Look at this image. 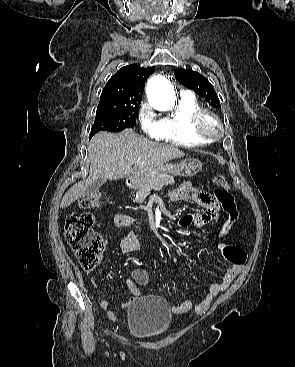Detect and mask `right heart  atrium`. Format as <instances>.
Here are the masks:
<instances>
[{
    "label": "right heart atrium",
    "instance_id": "1",
    "mask_svg": "<svg viewBox=\"0 0 295 367\" xmlns=\"http://www.w3.org/2000/svg\"><path fill=\"white\" fill-rule=\"evenodd\" d=\"M138 119L142 130L153 138H158L161 131L160 121L154 117L152 108L149 104L144 103L138 113Z\"/></svg>",
    "mask_w": 295,
    "mask_h": 367
}]
</instances>
